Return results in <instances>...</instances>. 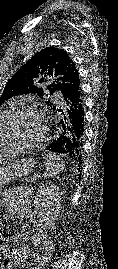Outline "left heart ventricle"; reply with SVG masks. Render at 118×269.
Instances as JSON below:
<instances>
[{
  "mask_svg": "<svg viewBox=\"0 0 118 269\" xmlns=\"http://www.w3.org/2000/svg\"><path fill=\"white\" fill-rule=\"evenodd\" d=\"M44 120L38 112H28L17 118L11 125L8 135L23 142H36L43 135Z\"/></svg>",
  "mask_w": 118,
  "mask_h": 269,
  "instance_id": "obj_1",
  "label": "left heart ventricle"
}]
</instances>
